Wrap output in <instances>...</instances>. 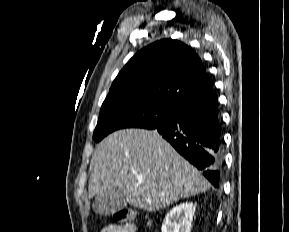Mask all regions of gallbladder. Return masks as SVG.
Returning <instances> with one entry per match:
<instances>
[{"label": "gallbladder", "mask_w": 289, "mask_h": 232, "mask_svg": "<svg viewBox=\"0 0 289 232\" xmlns=\"http://www.w3.org/2000/svg\"><path fill=\"white\" fill-rule=\"evenodd\" d=\"M127 205V197L122 189L112 188L104 195L97 196L93 203L97 213L103 216L114 214Z\"/></svg>", "instance_id": "bac80fb5"}]
</instances>
